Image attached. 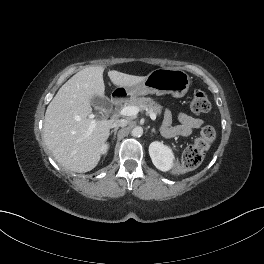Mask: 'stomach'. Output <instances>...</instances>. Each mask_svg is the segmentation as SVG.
Segmentation results:
<instances>
[{
	"instance_id": "0dacf381",
	"label": "stomach",
	"mask_w": 264,
	"mask_h": 264,
	"mask_svg": "<svg viewBox=\"0 0 264 264\" xmlns=\"http://www.w3.org/2000/svg\"><path fill=\"white\" fill-rule=\"evenodd\" d=\"M190 87L189 75L178 68H159L150 72L144 81L125 88L127 95L137 97L147 94H171L183 97Z\"/></svg>"
}]
</instances>
